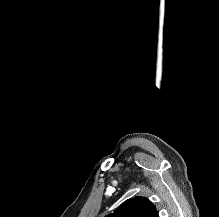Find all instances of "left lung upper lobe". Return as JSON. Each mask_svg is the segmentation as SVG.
I'll list each match as a JSON object with an SVG mask.
<instances>
[{"instance_id":"5c2ea615","label":"left lung upper lobe","mask_w":219,"mask_h":217,"mask_svg":"<svg viewBox=\"0 0 219 217\" xmlns=\"http://www.w3.org/2000/svg\"><path fill=\"white\" fill-rule=\"evenodd\" d=\"M106 217H159L156 207L145 197L127 200Z\"/></svg>"}]
</instances>
